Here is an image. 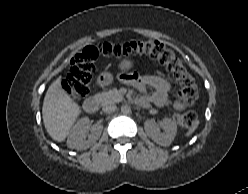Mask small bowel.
<instances>
[{
  "instance_id": "obj_1",
  "label": "small bowel",
  "mask_w": 248,
  "mask_h": 194,
  "mask_svg": "<svg viewBox=\"0 0 248 194\" xmlns=\"http://www.w3.org/2000/svg\"><path fill=\"white\" fill-rule=\"evenodd\" d=\"M128 83L143 94L139 99V103L143 106L153 103L162 107L169 101L172 88L170 83L161 76L130 74ZM148 89H153V92L148 93ZM173 106L176 110L184 109V105L178 100L173 102Z\"/></svg>"
}]
</instances>
